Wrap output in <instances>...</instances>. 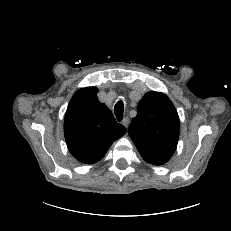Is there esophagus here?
<instances>
[{"label":"esophagus","instance_id":"34e87169","mask_svg":"<svg viewBox=\"0 0 231 231\" xmlns=\"http://www.w3.org/2000/svg\"><path fill=\"white\" fill-rule=\"evenodd\" d=\"M122 124H123L126 128H128V125H129V118H128V117L124 118L123 121H122Z\"/></svg>","mask_w":231,"mask_h":231}]
</instances>
